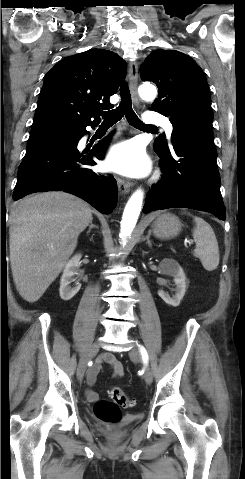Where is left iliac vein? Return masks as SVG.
Returning <instances> with one entry per match:
<instances>
[{"instance_id": "left-iliac-vein-1", "label": "left iliac vein", "mask_w": 245, "mask_h": 479, "mask_svg": "<svg viewBox=\"0 0 245 479\" xmlns=\"http://www.w3.org/2000/svg\"><path fill=\"white\" fill-rule=\"evenodd\" d=\"M129 356L133 361H140L141 360V354L139 352V349L137 347H133L130 352ZM144 379L147 384H150L153 380V374L148 365H144Z\"/></svg>"}]
</instances>
